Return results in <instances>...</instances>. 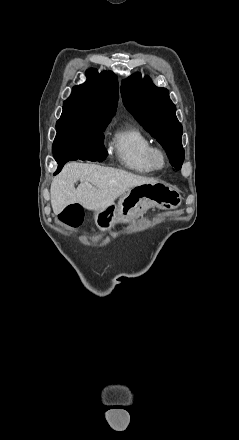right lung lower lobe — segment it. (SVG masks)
Listing matches in <instances>:
<instances>
[{
	"label": "right lung lower lobe",
	"mask_w": 239,
	"mask_h": 440,
	"mask_svg": "<svg viewBox=\"0 0 239 440\" xmlns=\"http://www.w3.org/2000/svg\"><path fill=\"white\" fill-rule=\"evenodd\" d=\"M107 157V152L103 146L97 145H84L81 147H75L69 150H63L54 154V158L58 163V169L56 173H58L64 164L70 160H90V161H103ZM55 173V174H56Z\"/></svg>",
	"instance_id": "98d812e1"
}]
</instances>
